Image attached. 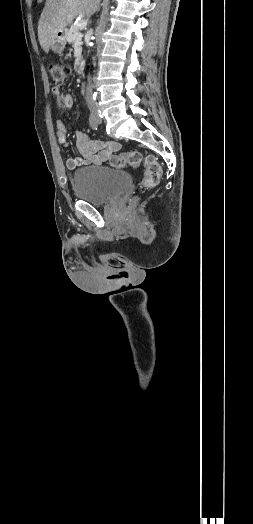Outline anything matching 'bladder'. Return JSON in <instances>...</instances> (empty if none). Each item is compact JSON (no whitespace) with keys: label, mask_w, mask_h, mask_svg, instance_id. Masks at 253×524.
I'll use <instances>...</instances> for the list:
<instances>
[{"label":"bladder","mask_w":253,"mask_h":524,"mask_svg":"<svg viewBox=\"0 0 253 524\" xmlns=\"http://www.w3.org/2000/svg\"><path fill=\"white\" fill-rule=\"evenodd\" d=\"M131 184L125 171L106 166H88L76 170L72 176V188L77 199L94 206L110 203Z\"/></svg>","instance_id":"1"}]
</instances>
